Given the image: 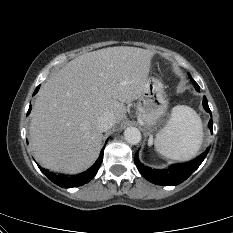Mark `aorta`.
Instances as JSON below:
<instances>
[{
    "label": "aorta",
    "instance_id": "obj_1",
    "mask_svg": "<svg viewBox=\"0 0 233 233\" xmlns=\"http://www.w3.org/2000/svg\"><path fill=\"white\" fill-rule=\"evenodd\" d=\"M125 140L132 145H135L141 141V133L136 127H128L124 131Z\"/></svg>",
    "mask_w": 233,
    "mask_h": 233
}]
</instances>
